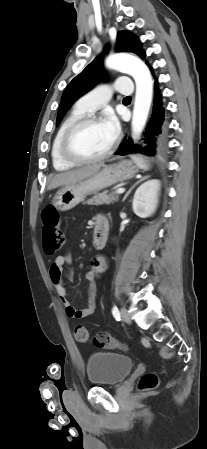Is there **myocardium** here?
Masks as SVG:
<instances>
[{
	"instance_id": "1",
	"label": "myocardium",
	"mask_w": 207,
	"mask_h": 449,
	"mask_svg": "<svg viewBox=\"0 0 207 449\" xmlns=\"http://www.w3.org/2000/svg\"><path fill=\"white\" fill-rule=\"evenodd\" d=\"M101 123V119L95 116H84L76 121H74L64 132L61 142H60V153L65 161L71 164H87V163H95L106 159L110 156L115 148V141L111 143L107 150L103 153L93 156V157H85L76 154L71 148V139L77 130L80 128L91 125Z\"/></svg>"
}]
</instances>
